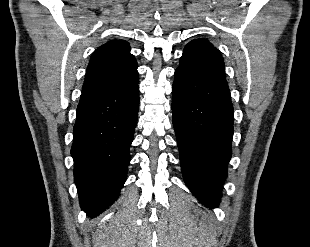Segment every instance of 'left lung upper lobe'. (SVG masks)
Masks as SVG:
<instances>
[{
	"label": "left lung upper lobe",
	"instance_id": "left-lung-upper-lobe-1",
	"mask_svg": "<svg viewBox=\"0 0 310 247\" xmlns=\"http://www.w3.org/2000/svg\"><path fill=\"white\" fill-rule=\"evenodd\" d=\"M177 69L227 83L220 51L205 39H195L185 46Z\"/></svg>",
	"mask_w": 310,
	"mask_h": 247
}]
</instances>
